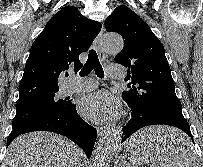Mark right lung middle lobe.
<instances>
[{"label": "right lung middle lobe", "mask_w": 203, "mask_h": 167, "mask_svg": "<svg viewBox=\"0 0 203 167\" xmlns=\"http://www.w3.org/2000/svg\"><path fill=\"white\" fill-rule=\"evenodd\" d=\"M56 92L17 104L13 129L29 121L68 110L71 107V101L68 98L59 99Z\"/></svg>", "instance_id": "1"}]
</instances>
